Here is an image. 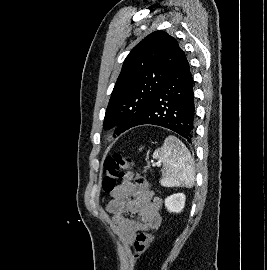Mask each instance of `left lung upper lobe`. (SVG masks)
Returning a JSON list of instances; mask_svg holds the SVG:
<instances>
[{
	"label": "left lung upper lobe",
	"mask_w": 267,
	"mask_h": 270,
	"mask_svg": "<svg viewBox=\"0 0 267 270\" xmlns=\"http://www.w3.org/2000/svg\"><path fill=\"white\" fill-rule=\"evenodd\" d=\"M181 49L164 31H155L138 43L126 57L112 91L103 126L131 128L150 105L168 78Z\"/></svg>",
	"instance_id": "5c2ea615"
}]
</instances>
